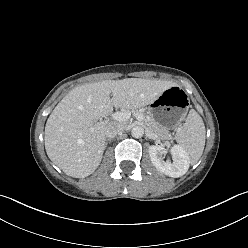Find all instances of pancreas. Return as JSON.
<instances>
[{
  "label": "pancreas",
  "instance_id": "obj_1",
  "mask_svg": "<svg viewBox=\"0 0 248 248\" xmlns=\"http://www.w3.org/2000/svg\"><path fill=\"white\" fill-rule=\"evenodd\" d=\"M138 114L143 116V123L160 139L163 140H168L171 139L172 136L169 132L168 129H166L165 127L159 125L156 121H154L153 119L149 118L144 111L142 110H137L136 111Z\"/></svg>",
  "mask_w": 248,
  "mask_h": 248
}]
</instances>
